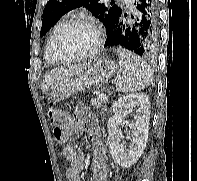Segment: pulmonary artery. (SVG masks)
I'll return each instance as SVG.
<instances>
[{
	"mask_svg": "<svg viewBox=\"0 0 197 181\" xmlns=\"http://www.w3.org/2000/svg\"><path fill=\"white\" fill-rule=\"evenodd\" d=\"M126 3L129 7H132V0H126Z\"/></svg>",
	"mask_w": 197,
	"mask_h": 181,
	"instance_id": "obj_1",
	"label": "pulmonary artery"
}]
</instances>
